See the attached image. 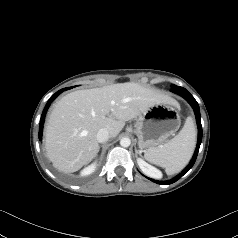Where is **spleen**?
I'll return each instance as SVG.
<instances>
[{
	"label": "spleen",
	"mask_w": 238,
	"mask_h": 238,
	"mask_svg": "<svg viewBox=\"0 0 238 238\" xmlns=\"http://www.w3.org/2000/svg\"><path fill=\"white\" fill-rule=\"evenodd\" d=\"M196 144V129L192 118L188 117L184 127L174 138L144 151L145 159L165 168L168 175L181 171L189 162Z\"/></svg>",
	"instance_id": "3e777b00"
}]
</instances>
